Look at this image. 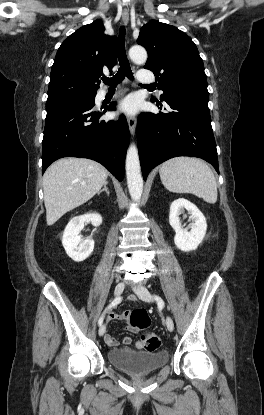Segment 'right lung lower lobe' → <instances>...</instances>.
I'll return each instance as SVG.
<instances>
[{"label": "right lung lower lobe", "instance_id": "right-lung-lower-lobe-1", "mask_svg": "<svg viewBox=\"0 0 264 415\" xmlns=\"http://www.w3.org/2000/svg\"><path fill=\"white\" fill-rule=\"evenodd\" d=\"M115 102L106 110H115ZM95 103H66L46 107L42 143V173L62 157L89 158L105 166L119 181L123 180L125 156L130 141L124 115L118 121L99 120Z\"/></svg>", "mask_w": 264, "mask_h": 415}]
</instances>
